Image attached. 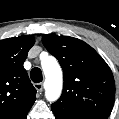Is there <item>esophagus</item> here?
<instances>
[{
	"mask_svg": "<svg viewBox=\"0 0 119 119\" xmlns=\"http://www.w3.org/2000/svg\"><path fill=\"white\" fill-rule=\"evenodd\" d=\"M34 87L36 88V90L41 93L43 91V85L42 83H35Z\"/></svg>",
	"mask_w": 119,
	"mask_h": 119,
	"instance_id": "34e87169",
	"label": "esophagus"
}]
</instances>
